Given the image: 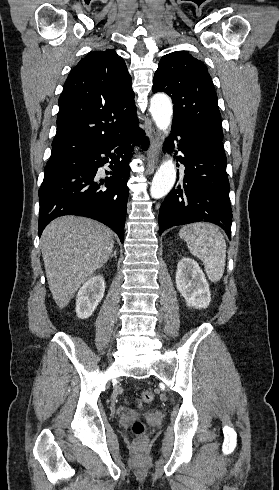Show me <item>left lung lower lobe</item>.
<instances>
[{"instance_id": "left-lung-lower-lobe-1", "label": "left lung lower lobe", "mask_w": 279, "mask_h": 490, "mask_svg": "<svg viewBox=\"0 0 279 490\" xmlns=\"http://www.w3.org/2000/svg\"><path fill=\"white\" fill-rule=\"evenodd\" d=\"M177 136L183 153L177 161L185 167L184 180L162 203L159 235L172 226L204 221L222 227L231 239L232 210L222 140L172 123V140Z\"/></svg>"}]
</instances>
